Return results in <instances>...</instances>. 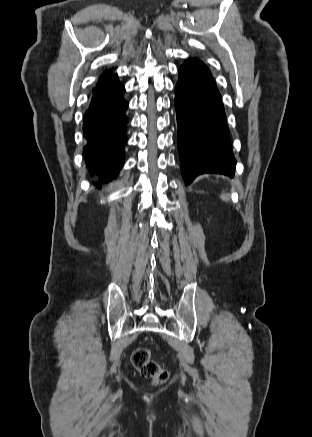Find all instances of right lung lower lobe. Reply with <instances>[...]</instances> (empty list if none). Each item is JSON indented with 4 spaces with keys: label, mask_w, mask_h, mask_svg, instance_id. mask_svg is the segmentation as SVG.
Masks as SVG:
<instances>
[{
    "label": "right lung lower lobe",
    "mask_w": 312,
    "mask_h": 437,
    "mask_svg": "<svg viewBox=\"0 0 312 437\" xmlns=\"http://www.w3.org/2000/svg\"><path fill=\"white\" fill-rule=\"evenodd\" d=\"M124 86L117 75L96 86L89 108L84 116L83 132L87 139L85 160L101 182L115 178L124 164V145L128 122L125 111L128 103L123 98Z\"/></svg>",
    "instance_id": "98d812e1"
}]
</instances>
